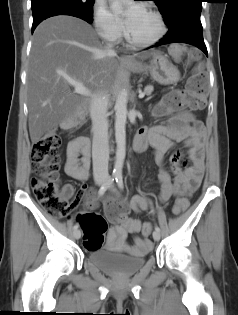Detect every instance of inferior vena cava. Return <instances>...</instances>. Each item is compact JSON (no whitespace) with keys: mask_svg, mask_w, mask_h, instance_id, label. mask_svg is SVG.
Returning <instances> with one entry per match:
<instances>
[{"mask_svg":"<svg viewBox=\"0 0 238 315\" xmlns=\"http://www.w3.org/2000/svg\"><path fill=\"white\" fill-rule=\"evenodd\" d=\"M106 54L115 55L110 45L106 47ZM107 92L98 91L90 103V116L92 119V160L93 176L95 180H104L109 177V141L107 122Z\"/></svg>","mask_w":238,"mask_h":315,"instance_id":"602c4592","label":"inferior vena cava"}]
</instances>
